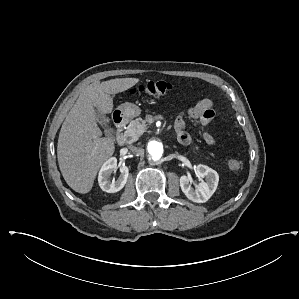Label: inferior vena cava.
<instances>
[{"label": "inferior vena cava", "instance_id": "1", "mask_svg": "<svg viewBox=\"0 0 299 299\" xmlns=\"http://www.w3.org/2000/svg\"><path fill=\"white\" fill-rule=\"evenodd\" d=\"M129 150L136 155H142L144 153V150L142 148L133 145L129 146Z\"/></svg>", "mask_w": 299, "mask_h": 299}]
</instances>
